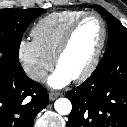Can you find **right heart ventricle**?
<instances>
[{"mask_svg": "<svg viewBox=\"0 0 127 127\" xmlns=\"http://www.w3.org/2000/svg\"><path fill=\"white\" fill-rule=\"evenodd\" d=\"M84 13L79 10H65L46 15L33 26V41L44 54L53 59L70 25Z\"/></svg>", "mask_w": 127, "mask_h": 127, "instance_id": "right-heart-ventricle-1", "label": "right heart ventricle"}]
</instances>
